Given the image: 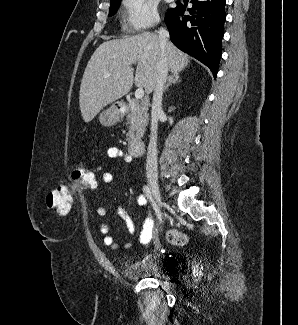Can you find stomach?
Here are the masks:
<instances>
[{
  "mask_svg": "<svg viewBox=\"0 0 298 325\" xmlns=\"http://www.w3.org/2000/svg\"><path fill=\"white\" fill-rule=\"evenodd\" d=\"M121 118V112H119V108L113 104L111 108H107V110H102L99 114V120L103 126H112V124H116L118 120Z\"/></svg>",
  "mask_w": 298,
  "mask_h": 325,
  "instance_id": "0dacf381",
  "label": "stomach"
}]
</instances>
